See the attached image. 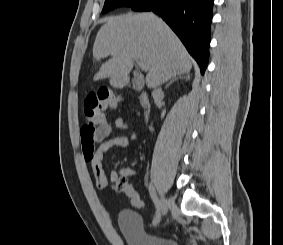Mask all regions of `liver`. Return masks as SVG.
I'll return each mask as SVG.
<instances>
[{"instance_id":"liver-1","label":"liver","mask_w":283,"mask_h":245,"mask_svg":"<svg viewBox=\"0 0 283 245\" xmlns=\"http://www.w3.org/2000/svg\"><path fill=\"white\" fill-rule=\"evenodd\" d=\"M103 63L94 79H122L131 72L134 61L148 66L146 85L155 88L161 83L187 74L192 59L175 33L152 13L109 17L96 35L94 61Z\"/></svg>"}]
</instances>
